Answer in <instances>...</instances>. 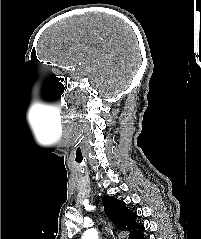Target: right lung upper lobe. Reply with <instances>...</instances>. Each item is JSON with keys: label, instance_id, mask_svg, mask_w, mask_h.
<instances>
[{"label": "right lung upper lobe", "instance_id": "1", "mask_svg": "<svg viewBox=\"0 0 201 239\" xmlns=\"http://www.w3.org/2000/svg\"><path fill=\"white\" fill-rule=\"evenodd\" d=\"M103 206L106 215L121 231H129L128 239H139L144 226L136 223L137 213L129 212L126 204L113 196H105Z\"/></svg>", "mask_w": 201, "mask_h": 239}]
</instances>
